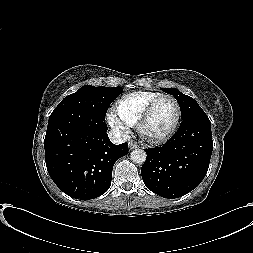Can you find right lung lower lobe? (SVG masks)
I'll return each instance as SVG.
<instances>
[{"mask_svg": "<svg viewBox=\"0 0 253 253\" xmlns=\"http://www.w3.org/2000/svg\"><path fill=\"white\" fill-rule=\"evenodd\" d=\"M107 129L105 119L84 110L51 113L44 141L46 166L70 197L90 200L109 189L113 165L128 154V144H113Z\"/></svg>", "mask_w": 253, "mask_h": 253, "instance_id": "1", "label": "right lung lower lobe"}]
</instances>
